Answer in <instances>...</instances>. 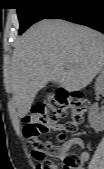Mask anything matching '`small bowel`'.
I'll return each mask as SVG.
<instances>
[{"label":"small bowel","mask_w":104,"mask_h":169,"mask_svg":"<svg viewBox=\"0 0 104 169\" xmlns=\"http://www.w3.org/2000/svg\"><path fill=\"white\" fill-rule=\"evenodd\" d=\"M55 130L57 131H63L65 129V126L63 124H57L54 126ZM73 146H79L81 148H84V142L83 140L78 137V136H74L69 138L67 141H65L63 143L62 146L58 147L59 149V158L64 160L65 156L68 155L70 149ZM80 158V165L78 167V169H84V164L89 160L90 158V154L88 151L83 150L79 156Z\"/></svg>","instance_id":"1"}]
</instances>
